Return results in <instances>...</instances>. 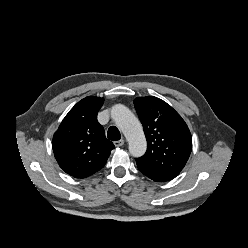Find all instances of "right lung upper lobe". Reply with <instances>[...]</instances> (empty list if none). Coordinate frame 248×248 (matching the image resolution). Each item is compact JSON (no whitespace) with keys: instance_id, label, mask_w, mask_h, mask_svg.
Listing matches in <instances>:
<instances>
[{"instance_id":"right-lung-upper-lobe-1","label":"right lung upper lobe","mask_w":248,"mask_h":248,"mask_svg":"<svg viewBox=\"0 0 248 248\" xmlns=\"http://www.w3.org/2000/svg\"><path fill=\"white\" fill-rule=\"evenodd\" d=\"M103 98L88 96L65 116L52 140L59 166L75 178H86L104 167L112 142L106 139L97 113Z\"/></svg>"}]
</instances>
